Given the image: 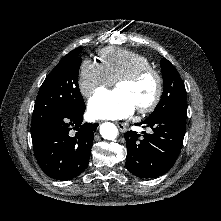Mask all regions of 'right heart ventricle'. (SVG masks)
Instances as JSON below:
<instances>
[{"label": "right heart ventricle", "mask_w": 221, "mask_h": 221, "mask_svg": "<svg viewBox=\"0 0 221 221\" xmlns=\"http://www.w3.org/2000/svg\"><path fill=\"white\" fill-rule=\"evenodd\" d=\"M98 59L114 81L136 69L151 67V61L143 54L119 47L102 49Z\"/></svg>", "instance_id": "1"}]
</instances>
